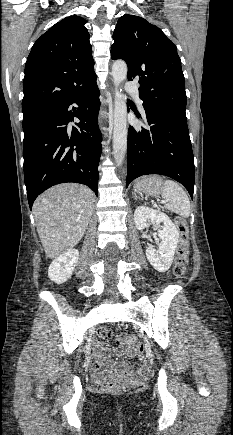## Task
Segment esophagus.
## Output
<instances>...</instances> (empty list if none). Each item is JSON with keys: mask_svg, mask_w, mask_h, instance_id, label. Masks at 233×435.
<instances>
[{"mask_svg": "<svg viewBox=\"0 0 233 435\" xmlns=\"http://www.w3.org/2000/svg\"><path fill=\"white\" fill-rule=\"evenodd\" d=\"M99 125H100V127L103 126V121L101 119H99Z\"/></svg>", "mask_w": 233, "mask_h": 435, "instance_id": "1", "label": "esophagus"}]
</instances>
